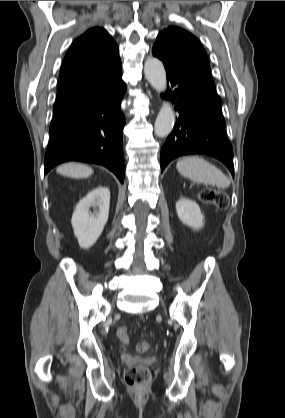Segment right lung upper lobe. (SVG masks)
Listing matches in <instances>:
<instances>
[{"label": "right lung upper lobe", "mask_w": 285, "mask_h": 418, "mask_svg": "<svg viewBox=\"0 0 285 418\" xmlns=\"http://www.w3.org/2000/svg\"><path fill=\"white\" fill-rule=\"evenodd\" d=\"M122 76L118 46L109 33L93 27L69 47L59 73L53 110L104 88Z\"/></svg>", "instance_id": "cb5924a9"}]
</instances>
